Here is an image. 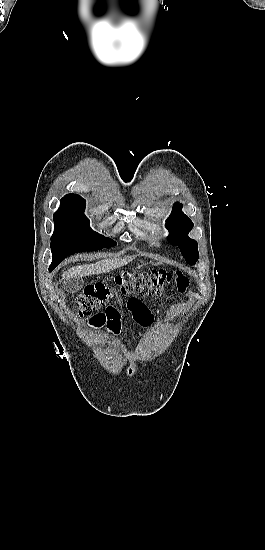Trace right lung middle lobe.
<instances>
[{
    "label": "right lung middle lobe",
    "instance_id": "1",
    "mask_svg": "<svg viewBox=\"0 0 265 550\" xmlns=\"http://www.w3.org/2000/svg\"><path fill=\"white\" fill-rule=\"evenodd\" d=\"M85 200L63 203L54 214V233L51 237L52 264L56 267L66 256L82 251H95L116 245L110 238L91 230L83 214Z\"/></svg>",
    "mask_w": 265,
    "mask_h": 550
}]
</instances>
